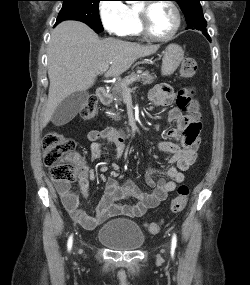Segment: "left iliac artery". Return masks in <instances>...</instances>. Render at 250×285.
Returning a JSON list of instances; mask_svg holds the SVG:
<instances>
[{
  "label": "left iliac artery",
  "mask_w": 250,
  "mask_h": 285,
  "mask_svg": "<svg viewBox=\"0 0 250 285\" xmlns=\"http://www.w3.org/2000/svg\"><path fill=\"white\" fill-rule=\"evenodd\" d=\"M176 242H177L176 236L173 235V238H172V248H173V249L176 247Z\"/></svg>",
  "instance_id": "44dca946"
}]
</instances>
